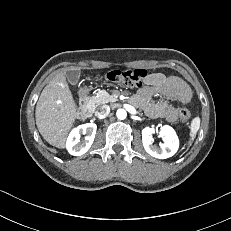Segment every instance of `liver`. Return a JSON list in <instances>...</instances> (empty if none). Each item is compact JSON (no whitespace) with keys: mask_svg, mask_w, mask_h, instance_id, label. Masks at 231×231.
Here are the masks:
<instances>
[{"mask_svg":"<svg viewBox=\"0 0 231 231\" xmlns=\"http://www.w3.org/2000/svg\"><path fill=\"white\" fill-rule=\"evenodd\" d=\"M78 115L65 73L60 72L45 86L36 104L37 128L44 140L62 149Z\"/></svg>","mask_w":231,"mask_h":231,"instance_id":"6515ba94","label":"liver"}]
</instances>
